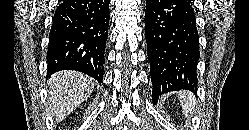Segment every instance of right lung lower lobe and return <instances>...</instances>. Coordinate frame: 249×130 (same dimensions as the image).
Returning a JSON list of instances; mask_svg holds the SVG:
<instances>
[{"label":"right lung lower lobe","mask_w":249,"mask_h":130,"mask_svg":"<svg viewBox=\"0 0 249 130\" xmlns=\"http://www.w3.org/2000/svg\"><path fill=\"white\" fill-rule=\"evenodd\" d=\"M109 14V0H64L57 7L49 33L48 76L75 70L102 82Z\"/></svg>","instance_id":"98d812e1"}]
</instances>
